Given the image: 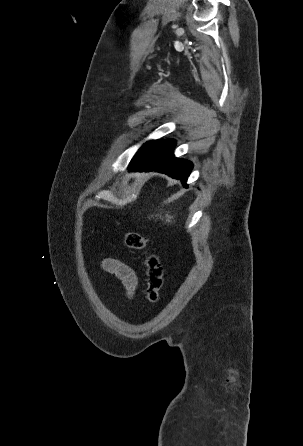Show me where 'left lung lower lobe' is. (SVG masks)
Wrapping results in <instances>:
<instances>
[{
    "instance_id": "0a47b994",
    "label": "left lung lower lobe",
    "mask_w": 303,
    "mask_h": 446,
    "mask_svg": "<svg viewBox=\"0 0 303 446\" xmlns=\"http://www.w3.org/2000/svg\"><path fill=\"white\" fill-rule=\"evenodd\" d=\"M174 147V140L166 139L159 141L135 156L131 160L128 169L146 172L155 170L186 182L193 164L188 160L175 158L173 154Z\"/></svg>"
}]
</instances>
